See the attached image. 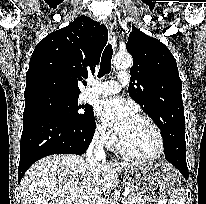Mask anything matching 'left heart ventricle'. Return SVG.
Returning a JSON list of instances; mask_svg holds the SVG:
<instances>
[{
    "label": "left heart ventricle",
    "instance_id": "left-heart-ventricle-1",
    "mask_svg": "<svg viewBox=\"0 0 206 204\" xmlns=\"http://www.w3.org/2000/svg\"><path fill=\"white\" fill-rule=\"evenodd\" d=\"M121 139L130 152L138 155H152L158 150V139L154 130L138 117L133 118Z\"/></svg>",
    "mask_w": 206,
    "mask_h": 204
}]
</instances>
